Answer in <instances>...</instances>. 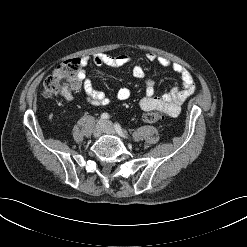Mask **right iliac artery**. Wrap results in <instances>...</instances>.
Returning a JSON list of instances; mask_svg holds the SVG:
<instances>
[{
  "label": "right iliac artery",
  "instance_id": "1",
  "mask_svg": "<svg viewBox=\"0 0 247 247\" xmlns=\"http://www.w3.org/2000/svg\"><path fill=\"white\" fill-rule=\"evenodd\" d=\"M101 118L104 119V120L109 119L108 113H103V114L101 115Z\"/></svg>",
  "mask_w": 247,
  "mask_h": 247
}]
</instances>
